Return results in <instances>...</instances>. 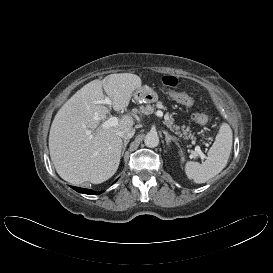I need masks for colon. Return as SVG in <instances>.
<instances>
[{
	"mask_svg": "<svg viewBox=\"0 0 273 273\" xmlns=\"http://www.w3.org/2000/svg\"><path fill=\"white\" fill-rule=\"evenodd\" d=\"M163 83L169 88H175L178 84V80L174 76H165L163 78ZM173 97L176 101L186 106H190L193 103L192 97L182 91H174ZM193 118L199 124H206L209 120L208 116L203 113H196Z\"/></svg>",
	"mask_w": 273,
	"mask_h": 273,
	"instance_id": "5ec220e1",
	"label": "colon"
}]
</instances>
